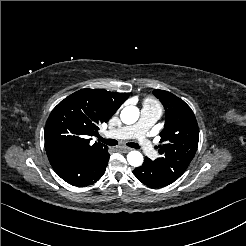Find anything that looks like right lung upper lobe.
<instances>
[{
  "label": "right lung upper lobe",
  "mask_w": 246,
  "mask_h": 246,
  "mask_svg": "<svg viewBox=\"0 0 246 246\" xmlns=\"http://www.w3.org/2000/svg\"><path fill=\"white\" fill-rule=\"evenodd\" d=\"M129 97L128 93L104 89H81L62 100L51 112L45 126V149L49 161L82 158L107 146L90 143L99 123L107 122Z\"/></svg>",
  "instance_id": "1"
}]
</instances>
